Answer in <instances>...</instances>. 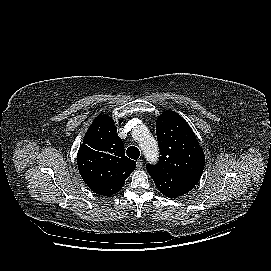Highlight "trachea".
<instances>
[{
	"label": "trachea",
	"instance_id": "3493384b",
	"mask_svg": "<svg viewBox=\"0 0 271 271\" xmlns=\"http://www.w3.org/2000/svg\"><path fill=\"white\" fill-rule=\"evenodd\" d=\"M126 153H127L128 157H130L131 159H134V160H137L140 157V151L135 146L128 147Z\"/></svg>",
	"mask_w": 271,
	"mask_h": 271
}]
</instances>
